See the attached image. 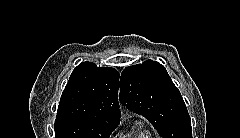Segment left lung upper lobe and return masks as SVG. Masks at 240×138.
I'll return each mask as SVG.
<instances>
[{
	"label": "left lung upper lobe",
	"mask_w": 240,
	"mask_h": 138,
	"mask_svg": "<svg viewBox=\"0 0 240 138\" xmlns=\"http://www.w3.org/2000/svg\"><path fill=\"white\" fill-rule=\"evenodd\" d=\"M120 88L122 104L147 118L163 138H192L186 105L163 65L147 60L125 68Z\"/></svg>",
	"instance_id": "left-lung-upper-lobe-1"
}]
</instances>
